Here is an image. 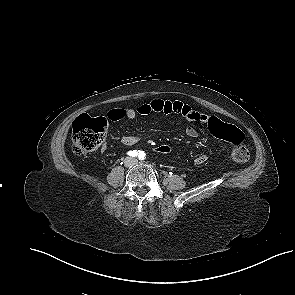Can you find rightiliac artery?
<instances>
[{
  "label": "right iliac artery",
  "instance_id": "obj_1",
  "mask_svg": "<svg viewBox=\"0 0 295 295\" xmlns=\"http://www.w3.org/2000/svg\"><path fill=\"white\" fill-rule=\"evenodd\" d=\"M140 151L137 150H131L128 152V155L131 157H137L139 155Z\"/></svg>",
  "mask_w": 295,
  "mask_h": 295
}]
</instances>
